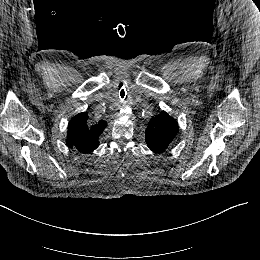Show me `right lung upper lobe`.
Wrapping results in <instances>:
<instances>
[{
  "label": "right lung upper lobe",
  "instance_id": "right-lung-upper-lobe-1",
  "mask_svg": "<svg viewBox=\"0 0 260 260\" xmlns=\"http://www.w3.org/2000/svg\"><path fill=\"white\" fill-rule=\"evenodd\" d=\"M106 121L90 125L86 112L76 115L68 125L67 145L81 153H89L99 146L98 138L105 129Z\"/></svg>",
  "mask_w": 260,
  "mask_h": 260
}]
</instances>
